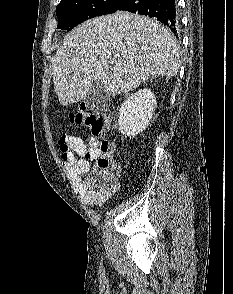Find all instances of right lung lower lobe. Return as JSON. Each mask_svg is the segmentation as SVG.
<instances>
[{"instance_id": "right-lung-lower-lobe-1", "label": "right lung lower lobe", "mask_w": 233, "mask_h": 294, "mask_svg": "<svg viewBox=\"0 0 233 294\" xmlns=\"http://www.w3.org/2000/svg\"><path fill=\"white\" fill-rule=\"evenodd\" d=\"M118 10L156 18L168 26L174 34L179 33V17L175 0H124Z\"/></svg>"}]
</instances>
